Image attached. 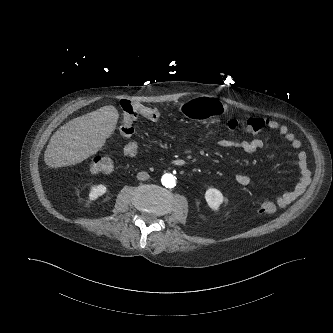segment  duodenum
<instances>
[{
    "mask_svg": "<svg viewBox=\"0 0 333 333\" xmlns=\"http://www.w3.org/2000/svg\"><path fill=\"white\" fill-rule=\"evenodd\" d=\"M170 164L174 166H184L186 164L185 160L180 158H174L170 160Z\"/></svg>",
    "mask_w": 333,
    "mask_h": 333,
    "instance_id": "duodenum-1",
    "label": "duodenum"
}]
</instances>
